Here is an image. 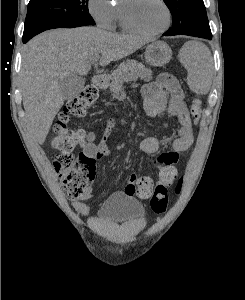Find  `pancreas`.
<instances>
[{"instance_id":"obj_1","label":"pancreas","mask_w":245,"mask_h":300,"mask_svg":"<svg viewBox=\"0 0 245 300\" xmlns=\"http://www.w3.org/2000/svg\"><path fill=\"white\" fill-rule=\"evenodd\" d=\"M138 78L149 81L152 79V71L135 60L122 63L110 76V90L114 93V97H117L122 90L124 82L137 80Z\"/></svg>"}]
</instances>
